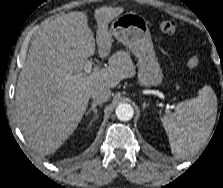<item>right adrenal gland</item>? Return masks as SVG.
<instances>
[{
    "instance_id": "1",
    "label": "right adrenal gland",
    "mask_w": 223,
    "mask_h": 188,
    "mask_svg": "<svg viewBox=\"0 0 223 188\" xmlns=\"http://www.w3.org/2000/svg\"><path fill=\"white\" fill-rule=\"evenodd\" d=\"M101 105H102V103H98V102L93 103V104L91 105V107L89 108V110L85 113L86 116L92 111L93 114H94L93 119H95V118L97 117V109H96V107H97V106H101Z\"/></svg>"
}]
</instances>
